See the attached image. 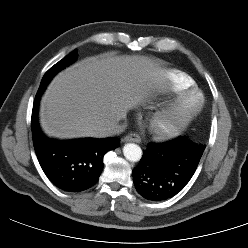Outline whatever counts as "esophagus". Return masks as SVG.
<instances>
[{
  "instance_id": "esophagus-1",
  "label": "esophagus",
  "mask_w": 248,
  "mask_h": 248,
  "mask_svg": "<svg viewBox=\"0 0 248 248\" xmlns=\"http://www.w3.org/2000/svg\"><path fill=\"white\" fill-rule=\"evenodd\" d=\"M123 142H135V143H140L141 142V138L138 134L136 133H131L126 135L123 139Z\"/></svg>"
}]
</instances>
